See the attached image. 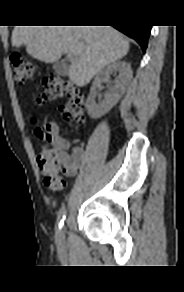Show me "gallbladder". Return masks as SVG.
Segmentation results:
<instances>
[{"label": "gallbladder", "mask_w": 184, "mask_h": 292, "mask_svg": "<svg viewBox=\"0 0 184 292\" xmlns=\"http://www.w3.org/2000/svg\"><path fill=\"white\" fill-rule=\"evenodd\" d=\"M53 69L58 75H61V76H66L68 73V66L62 62L54 63Z\"/></svg>", "instance_id": "1"}]
</instances>
